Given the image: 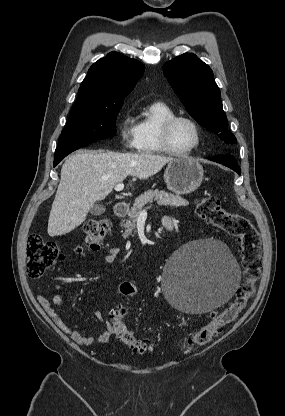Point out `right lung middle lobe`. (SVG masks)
I'll return each mask as SVG.
<instances>
[{"instance_id":"dd1d6c3e","label":"right lung middle lobe","mask_w":285,"mask_h":416,"mask_svg":"<svg viewBox=\"0 0 285 416\" xmlns=\"http://www.w3.org/2000/svg\"><path fill=\"white\" fill-rule=\"evenodd\" d=\"M123 101L106 104H74L58 145L92 142L116 134V118Z\"/></svg>"}]
</instances>
